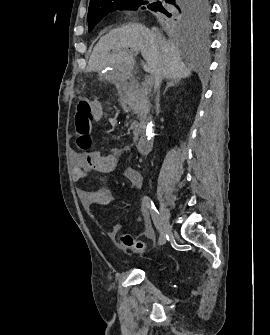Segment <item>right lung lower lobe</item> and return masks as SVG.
Listing matches in <instances>:
<instances>
[{"label":"right lung lower lobe","instance_id":"98d812e1","mask_svg":"<svg viewBox=\"0 0 270 335\" xmlns=\"http://www.w3.org/2000/svg\"><path fill=\"white\" fill-rule=\"evenodd\" d=\"M165 2H168V0H164ZM165 4L163 3V5L162 6H164Z\"/></svg>","mask_w":270,"mask_h":335}]
</instances>
